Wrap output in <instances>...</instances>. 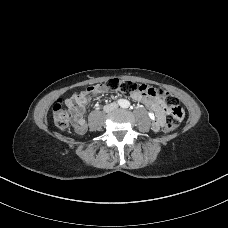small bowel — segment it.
<instances>
[{"mask_svg": "<svg viewBox=\"0 0 228 228\" xmlns=\"http://www.w3.org/2000/svg\"><path fill=\"white\" fill-rule=\"evenodd\" d=\"M105 88L99 85L88 86L85 90L74 93L70 98L65 100V104L75 114V129L77 132L82 133L85 131V120L82 117V112L91 101V94L104 92ZM133 100L142 102L148 105L155 113L153 122L154 130L158 131L162 128L165 118V107L162 101L155 96H149L143 92L133 91L130 93Z\"/></svg>", "mask_w": 228, "mask_h": 228, "instance_id": "obj_1", "label": "small bowel"}]
</instances>
